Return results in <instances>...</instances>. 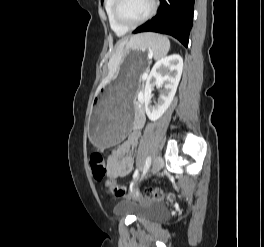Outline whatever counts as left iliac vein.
Returning <instances> with one entry per match:
<instances>
[{"label": "left iliac vein", "instance_id": "left-iliac-vein-1", "mask_svg": "<svg viewBox=\"0 0 264 247\" xmlns=\"http://www.w3.org/2000/svg\"><path fill=\"white\" fill-rule=\"evenodd\" d=\"M163 166V160L161 156H157L153 163H152V168H151V174L155 175L157 174Z\"/></svg>", "mask_w": 264, "mask_h": 247}]
</instances>
